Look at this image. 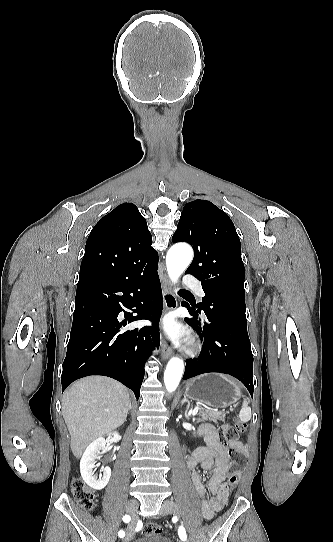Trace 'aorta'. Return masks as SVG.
Wrapping results in <instances>:
<instances>
[{"label":"aorta","instance_id":"aorta-1","mask_svg":"<svg viewBox=\"0 0 333 542\" xmlns=\"http://www.w3.org/2000/svg\"><path fill=\"white\" fill-rule=\"evenodd\" d=\"M193 258V250L188 244H175L166 256L167 272L170 280L176 284ZM184 374V362L181 358H171L164 372V384L167 392H175Z\"/></svg>","mask_w":333,"mask_h":542}]
</instances>
